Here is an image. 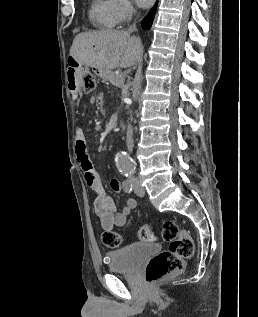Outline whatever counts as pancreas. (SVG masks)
<instances>
[{
	"mask_svg": "<svg viewBox=\"0 0 258 317\" xmlns=\"http://www.w3.org/2000/svg\"><path fill=\"white\" fill-rule=\"evenodd\" d=\"M109 81L111 84H114L118 90L125 89V84L123 83L120 77H111Z\"/></svg>",
	"mask_w": 258,
	"mask_h": 317,
	"instance_id": "1",
	"label": "pancreas"
}]
</instances>
